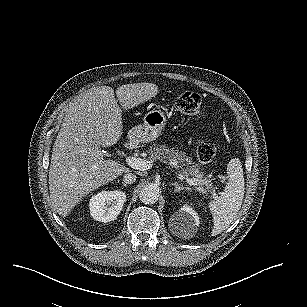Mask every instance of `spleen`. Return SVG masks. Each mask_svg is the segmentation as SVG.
I'll return each instance as SVG.
<instances>
[{
	"instance_id": "obj_1",
	"label": "spleen",
	"mask_w": 307,
	"mask_h": 307,
	"mask_svg": "<svg viewBox=\"0 0 307 307\" xmlns=\"http://www.w3.org/2000/svg\"><path fill=\"white\" fill-rule=\"evenodd\" d=\"M228 182L220 196L209 202L214 226L211 235L226 230L236 218L244 198L245 181L239 158H233L227 165Z\"/></svg>"
}]
</instances>
